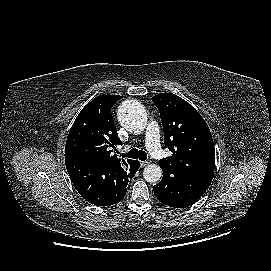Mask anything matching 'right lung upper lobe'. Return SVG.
Instances as JSON below:
<instances>
[{"label": "right lung upper lobe", "instance_id": "right-lung-upper-lobe-1", "mask_svg": "<svg viewBox=\"0 0 271 271\" xmlns=\"http://www.w3.org/2000/svg\"><path fill=\"white\" fill-rule=\"evenodd\" d=\"M119 95H101L86 105L75 119L67 137L65 160L81 157L98 164L124 169L127 173L138 163H126L117 157V146L122 145L117 135L111 107ZM125 165V166H124Z\"/></svg>", "mask_w": 271, "mask_h": 271}]
</instances>
